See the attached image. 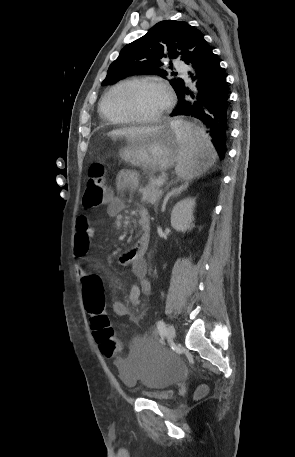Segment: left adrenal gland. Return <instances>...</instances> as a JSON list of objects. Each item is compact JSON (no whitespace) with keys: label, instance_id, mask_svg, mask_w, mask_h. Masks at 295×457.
Here are the masks:
<instances>
[{"label":"left adrenal gland","instance_id":"left-adrenal-gland-1","mask_svg":"<svg viewBox=\"0 0 295 457\" xmlns=\"http://www.w3.org/2000/svg\"><path fill=\"white\" fill-rule=\"evenodd\" d=\"M188 187V183H185L184 185L180 186L178 189H174L172 190L171 192H169L166 197L164 198V201H163V204H162V211L165 210V207H166V204L168 202V200L171 198V197H174V196H178L179 194H181L184 190H186ZM155 211L157 212V205L155 206Z\"/></svg>","mask_w":295,"mask_h":457}]
</instances>
